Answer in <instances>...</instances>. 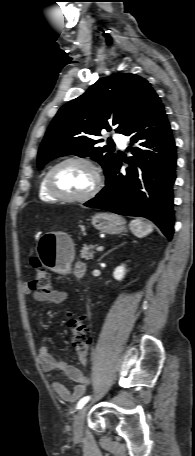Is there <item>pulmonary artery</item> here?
<instances>
[{"instance_id":"1","label":"pulmonary artery","mask_w":195,"mask_h":456,"mask_svg":"<svg viewBox=\"0 0 195 456\" xmlns=\"http://www.w3.org/2000/svg\"><path fill=\"white\" fill-rule=\"evenodd\" d=\"M114 140H115V142H116L119 146L125 147V145H126V139H125V137H124L123 135H121V134H115V135H114Z\"/></svg>"}]
</instances>
